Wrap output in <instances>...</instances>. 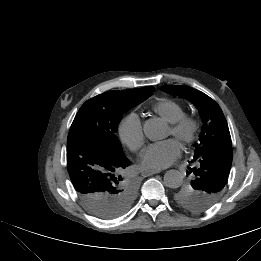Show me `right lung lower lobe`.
I'll return each mask as SVG.
<instances>
[{"label":"right lung lower lobe","instance_id":"obj_1","mask_svg":"<svg viewBox=\"0 0 261 261\" xmlns=\"http://www.w3.org/2000/svg\"><path fill=\"white\" fill-rule=\"evenodd\" d=\"M130 161L123 152L101 147L95 140L76 136L67 141V169L80 198H86L93 189L116 181Z\"/></svg>","mask_w":261,"mask_h":261}]
</instances>
